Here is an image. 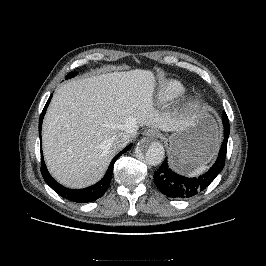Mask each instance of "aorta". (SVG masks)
<instances>
[{"mask_svg":"<svg viewBox=\"0 0 266 266\" xmlns=\"http://www.w3.org/2000/svg\"><path fill=\"white\" fill-rule=\"evenodd\" d=\"M164 147L160 142H151L145 145L143 142L137 147V153L141 155L149 165H158L164 159Z\"/></svg>","mask_w":266,"mask_h":266,"instance_id":"762f6f07","label":"aorta"}]
</instances>
